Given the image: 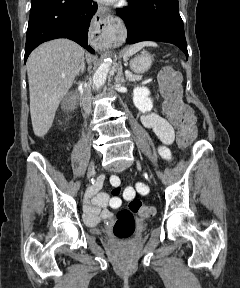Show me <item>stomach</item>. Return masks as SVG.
Segmentation results:
<instances>
[{
	"label": "stomach",
	"mask_w": 240,
	"mask_h": 288,
	"mask_svg": "<svg viewBox=\"0 0 240 288\" xmlns=\"http://www.w3.org/2000/svg\"><path fill=\"white\" fill-rule=\"evenodd\" d=\"M151 64L152 57L147 52H143L130 62V67L136 73H144L150 68Z\"/></svg>",
	"instance_id": "obj_1"
}]
</instances>
